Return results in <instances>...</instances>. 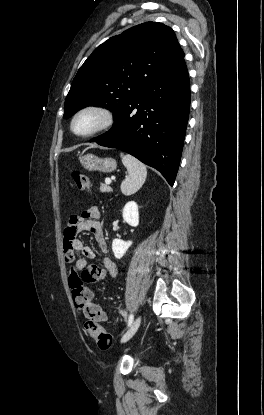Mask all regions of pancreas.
I'll list each match as a JSON object with an SVG mask.
<instances>
[{
    "mask_svg": "<svg viewBox=\"0 0 264 415\" xmlns=\"http://www.w3.org/2000/svg\"><path fill=\"white\" fill-rule=\"evenodd\" d=\"M100 191L102 193H106V192H111L112 189L108 185L101 183L100 184Z\"/></svg>",
    "mask_w": 264,
    "mask_h": 415,
    "instance_id": "cf45deb5",
    "label": "pancreas"
}]
</instances>
